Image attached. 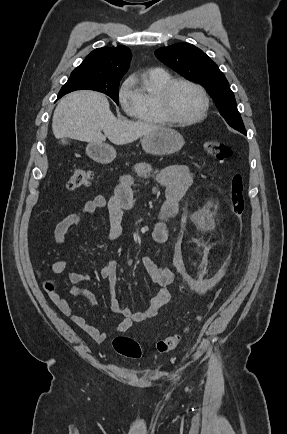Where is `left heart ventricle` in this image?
<instances>
[{
    "label": "left heart ventricle",
    "instance_id": "left-heart-ventricle-1",
    "mask_svg": "<svg viewBox=\"0 0 287 434\" xmlns=\"http://www.w3.org/2000/svg\"><path fill=\"white\" fill-rule=\"evenodd\" d=\"M202 99L199 92L185 84L177 85L170 96V110L178 119H190L201 110Z\"/></svg>",
    "mask_w": 287,
    "mask_h": 434
}]
</instances>
